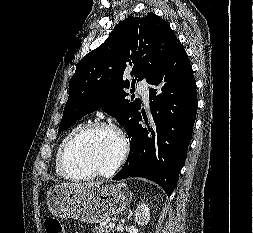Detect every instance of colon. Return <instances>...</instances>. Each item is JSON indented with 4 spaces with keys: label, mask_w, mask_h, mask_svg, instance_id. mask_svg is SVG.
<instances>
[{
    "label": "colon",
    "mask_w": 253,
    "mask_h": 233,
    "mask_svg": "<svg viewBox=\"0 0 253 233\" xmlns=\"http://www.w3.org/2000/svg\"><path fill=\"white\" fill-rule=\"evenodd\" d=\"M44 226L46 233H65L63 225L55 217H47Z\"/></svg>",
    "instance_id": "5ec220e1"
}]
</instances>
